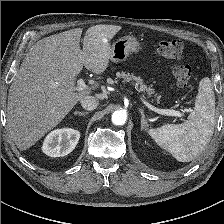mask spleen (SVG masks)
Masks as SVG:
<instances>
[{"mask_svg":"<svg viewBox=\"0 0 224 224\" xmlns=\"http://www.w3.org/2000/svg\"><path fill=\"white\" fill-rule=\"evenodd\" d=\"M215 125V96L208 77L199 82L194 109L188 120L179 125L164 124L149 129L148 134L163 149L180 162H190L209 144Z\"/></svg>","mask_w":224,"mask_h":224,"instance_id":"1","label":"spleen"}]
</instances>
